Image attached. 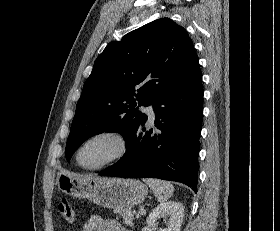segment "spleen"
<instances>
[{
	"mask_svg": "<svg viewBox=\"0 0 280 231\" xmlns=\"http://www.w3.org/2000/svg\"><path fill=\"white\" fill-rule=\"evenodd\" d=\"M147 185H149L151 191L157 197V201L164 203L171 195H173L174 187L169 181H163V179H143Z\"/></svg>",
	"mask_w": 280,
	"mask_h": 231,
	"instance_id": "3e777b00",
	"label": "spleen"
}]
</instances>
